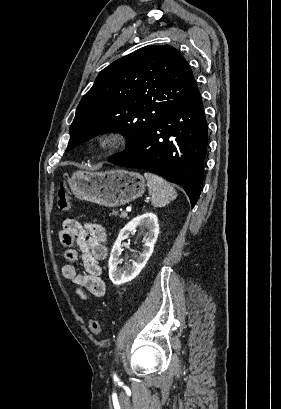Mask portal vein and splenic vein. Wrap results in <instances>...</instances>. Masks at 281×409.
Segmentation results:
<instances>
[{
	"instance_id": "18ae733b",
	"label": "portal vein and splenic vein",
	"mask_w": 281,
	"mask_h": 409,
	"mask_svg": "<svg viewBox=\"0 0 281 409\" xmlns=\"http://www.w3.org/2000/svg\"><path fill=\"white\" fill-rule=\"evenodd\" d=\"M120 213L122 214V216H121V219H122V220H127V219H128V213L125 212L124 209H121V210H120Z\"/></svg>"
}]
</instances>
